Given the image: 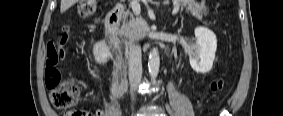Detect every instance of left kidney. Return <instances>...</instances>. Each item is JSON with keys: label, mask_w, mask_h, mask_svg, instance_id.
<instances>
[{"label": "left kidney", "mask_w": 283, "mask_h": 116, "mask_svg": "<svg viewBox=\"0 0 283 116\" xmlns=\"http://www.w3.org/2000/svg\"><path fill=\"white\" fill-rule=\"evenodd\" d=\"M196 46L189 52L192 69L197 73H207L212 69L217 49V38L213 31L206 27L195 29Z\"/></svg>", "instance_id": "obj_1"}]
</instances>
